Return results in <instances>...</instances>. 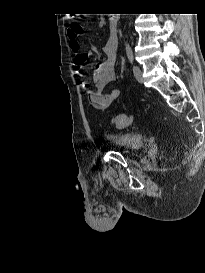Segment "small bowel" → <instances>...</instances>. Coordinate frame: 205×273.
<instances>
[{"mask_svg": "<svg viewBox=\"0 0 205 273\" xmlns=\"http://www.w3.org/2000/svg\"><path fill=\"white\" fill-rule=\"evenodd\" d=\"M117 40L108 38L103 47L105 59L94 66L92 74L88 77L84 75V65L90 56V52H83L78 37L70 36V49L76 54L74 61V73L82 79V87L90 105L97 110H106L118 97L120 90L112 89L105 93L106 86L115 78V61L117 54ZM92 83L95 89L90 90L87 84Z\"/></svg>", "mask_w": 205, "mask_h": 273, "instance_id": "obj_1", "label": "small bowel"}]
</instances>
